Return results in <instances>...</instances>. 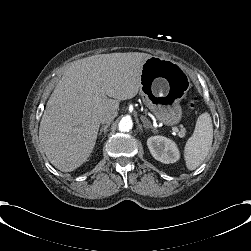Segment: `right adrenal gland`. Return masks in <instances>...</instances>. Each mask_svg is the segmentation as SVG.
<instances>
[{
	"mask_svg": "<svg viewBox=\"0 0 251 251\" xmlns=\"http://www.w3.org/2000/svg\"><path fill=\"white\" fill-rule=\"evenodd\" d=\"M107 129H108V125H103V126L101 127L100 131H99V136L101 135V133H102L103 131L106 132Z\"/></svg>",
	"mask_w": 251,
	"mask_h": 251,
	"instance_id": "1",
	"label": "right adrenal gland"
}]
</instances>
